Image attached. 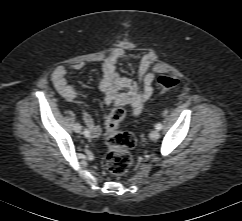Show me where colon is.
<instances>
[{"mask_svg": "<svg viewBox=\"0 0 242 221\" xmlns=\"http://www.w3.org/2000/svg\"><path fill=\"white\" fill-rule=\"evenodd\" d=\"M158 84L161 89L169 90L176 88L180 80L163 75L158 78ZM126 114L123 106H114L105 122L108 146L106 165L108 170L117 176L126 174L130 169L133 162L131 150L136 145L135 136L121 128Z\"/></svg>", "mask_w": 242, "mask_h": 221, "instance_id": "1", "label": "colon"}]
</instances>
